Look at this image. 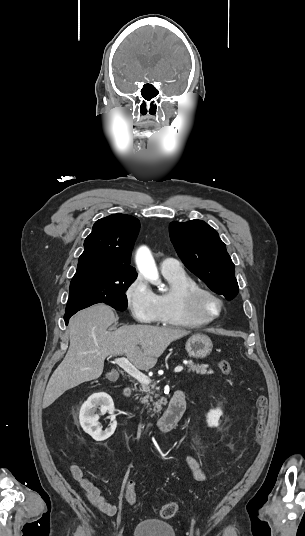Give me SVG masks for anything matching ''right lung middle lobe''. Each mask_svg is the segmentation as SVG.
<instances>
[{
  "label": "right lung middle lobe",
  "mask_w": 305,
  "mask_h": 536,
  "mask_svg": "<svg viewBox=\"0 0 305 536\" xmlns=\"http://www.w3.org/2000/svg\"><path fill=\"white\" fill-rule=\"evenodd\" d=\"M136 277L137 275L74 277L70 283V296L65 311L81 310L100 302L124 311L127 308L125 292Z\"/></svg>",
  "instance_id": "dd1d6c3e"
}]
</instances>
